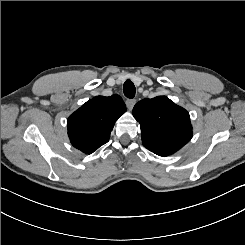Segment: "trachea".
<instances>
[{
	"label": "trachea",
	"instance_id": "1",
	"mask_svg": "<svg viewBox=\"0 0 245 245\" xmlns=\"http://www.w3.org/2000/svg\"><path fill=\"white\" fill-rule=\"evenodd\" d=\"M123 92H124V95L127 98H129V99H133L134 98L135 93H136V88H135L134 84L130 80H127L124 83Z\"/></svg>",
	"mask_w": 245,
	"mask_h": 245
}]
</instances>
